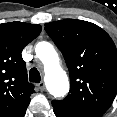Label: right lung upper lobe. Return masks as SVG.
Segmentation results:
<instances>
[{
  "label": "right lung upper lobe",
  "instance_id": "cb5924a9",
  "mask_svg": "<svg viewBox=\"0 0 117 117\" xmlns=\"http://www.w3.org/2000/svg\"><path fill=\"white\" fill-rule=\"evenodd\" d=\"M41 30L40 25L18 21L0 24V117H24L26 113L35 91L21 52Z\"/></svg>",
  "mask_w": 117,
  "mask_h": 117
}]
</instances>
